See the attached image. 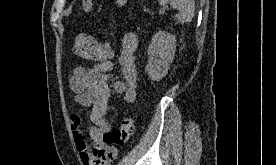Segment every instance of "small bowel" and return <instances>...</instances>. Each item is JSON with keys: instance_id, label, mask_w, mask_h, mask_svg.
Masks as SVG:
<instances>
[{"instance_id": "1", "label": "small bowel", "mask_w": 276, "mask_h": 165, "mask_svg": "<svg viewBox=\"0 0 276 165\" xmlns=\"http://www.w3.org/2000/svg\"><path fill=\"white\" fill-rule=\"evenodd\" d=\"M138 47L137 35L128 32L121 39L118 60L123 78L113 83L115 93L122 95L126 103L136 100L137 69L135 52ZM113 71L111 61H103L90 67H76L68 81L69 88L75 94V101L90 109L89 135L94 142L91 148L82 131V118L74 114L70 117L76 149L83 165H110L116 157V151L103 144V135L111 130L107 118L110 89L108 81Z\"/></svg>"}]
</instances>
